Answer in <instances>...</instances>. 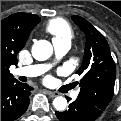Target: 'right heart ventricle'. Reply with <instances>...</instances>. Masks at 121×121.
I'll list each match as a JSON object with an SVG mask.
<instances>
[{
  "mask_svg": "<svg viewBox=\"0 0 121 121\" xmlns=\"http://www.w3.org/2000/svg\"><path fill=\"white\" fill-rule=\"evenodd\" d=\"M46 31L53 36V43L71 42L72 29L63 19L51 20L46 26Z\"/></svg>",
  "mask_w": 121,
  "mask_h": 121,
  "instance_id": "right-heart-ventricle-1",
  "label": "right heart ventricle"
}]
</instances>
